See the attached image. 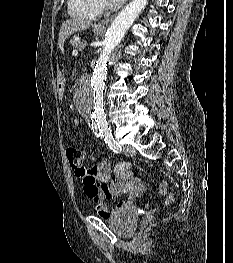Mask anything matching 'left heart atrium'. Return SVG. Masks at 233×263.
<instances>
[{
	"label": "left heart atrium",
	"instance_id": "1",
	"mask_svg": "<svg viewBox=\"0 0 233 263\" xmlns=\"http://www.w3.org/2000/svg\"><path fill=\"white\" fill-rule=\"evenodd\" d=\"M112 1L115 2V3H122L125 0H112Z\"/></svg>",
	"mask_w": 233,
	"mask_h": 263
}]
</instances>
